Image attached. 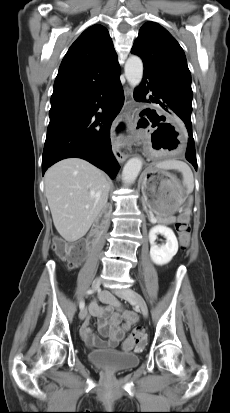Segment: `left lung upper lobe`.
<instances>
[{
    "label": "left lung upper lobe",
    "instance_id": "1",
    "mask_svg": "<svg viewBox=\"0 0 230 413\" xmlns=\"http://www.w3.org/2000/svg\"><path fill=\"white\" fill-rule=\"evenodd\" d=\"M131 53L140 56L144 74L151 76L162 93L192 111L191 74L183 49L158 23L146 22L139 31Z\"/></svg>",
    "mask_w": 230,
    "mask_h": 413
}]
</instances>
